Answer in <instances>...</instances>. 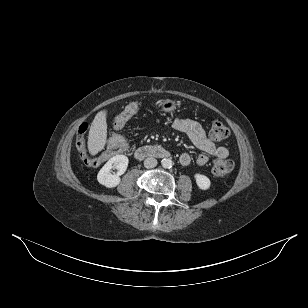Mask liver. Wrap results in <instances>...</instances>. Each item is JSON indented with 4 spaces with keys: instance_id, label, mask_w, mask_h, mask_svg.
<instances>
[{
    "instance_id": "6515ba94",
    "label": "liver",
    "mask_w": 308,
    "mask_h": 308,
    "mask_svg": "<svg viewBox=\"0 0 308 308\" xmlns=\"http://www.w3.org/2000/svg\"><path fill=\"white\" fill-rule=\"evenodd\" d=\"M107 110L98 112L91 123L88 135V151L91 155H96L101 151L107 141Z\"/></svg>"
}]
</instances>
